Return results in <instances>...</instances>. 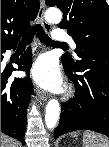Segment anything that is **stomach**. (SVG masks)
I'll return each mask as SVG.
<instances>
[{"label": "stomach", "instance_id": "obj_1", "mask_svg": "<svg viewBox=\"0 0 109 147\" xmlns=\"http://www.w3.org/2000/svg\"><path fill=\"white\" fill-rule=\"evenodd\" d=\"M72 137L77 139L78 133H73V134H72Z\"/></svg>", "mask_w": 109, "mask_h": 147}]
</instances>
